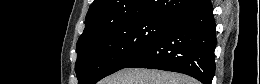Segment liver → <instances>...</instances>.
<instances>
[{"instance_id": "liver-1", "label": "liver", "mask_w": 260, "mask_h": 84, "mask_svg": "<svg viewBox=\"0 0 260 84\" xmlns=\"http://www.w3.org/2000/svg\"><path fill=\"white\" fill-rule=\"evenodd\" d=\"M100 84H198L180 73L154 69L125 68L105 78Z\"/></svg>"}]
</instances>
